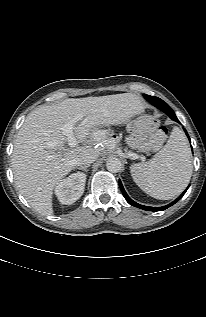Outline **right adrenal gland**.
<instances>
[{"mask_svg":"<svg viewBox=\"0 0 206 317\" xmlns=\"http://www.w3.org/2000/svg\"><path fill=\"white\" fill-rule=\"evenodd\" d=\"M89 166H90V165L80 166V167H78L77 169H80V170H83V171L87 172V168H88Z\"/></svg>","mask_w":206,"mask_h":317,"instance_id":"2a0ac1e0","label":"right adrenal gland"}]
</instances>
